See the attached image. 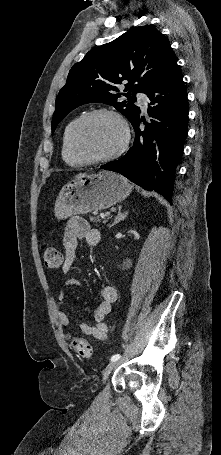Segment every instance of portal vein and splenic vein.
Instances as JSON below:
<instances>
[{
  "label": "portal vein and splenic vein",
  "mask_w": 221,
  "mask_h": 455,
  "mask_svg": "<svg viewBox=\"0 0 221 455\" xmlns=\"http://www.w3.org/2000/svg\"><path fill=\"white\" fill-rule=\"evenodd\" d=\"M100 217H101L102 219H105V218H106V216H105L104 214H100Z\"/></svg>",
  "instance_id": "obj_1"
}]
</instances>
